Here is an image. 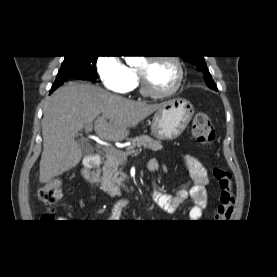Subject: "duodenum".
Returning <instances> with one entry per match:
<instances>
[{
    "label": "duodenum",
    "mask_w": 277,
    "mask_h": 277,
    "mask_svg": "<svg viewBox=\"0 0 277 277\" xmlns=\"http://www.w3.org/2000/svg\"><path fill=\"white\" fill-rule=\"evenodd\" d=\"M102 163L101 156L99 154L89 155L84 162L82 169V175L88 184L92 187L96 186V180L92 176L91 172L97 170Z\"/></svg>",
    "instance_id": "obj_1"
}]
</instances>
